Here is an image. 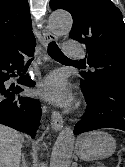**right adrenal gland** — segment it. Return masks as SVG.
Masks as SVG:
<instances>
[{"label": "right adrenal gland", "instance_id": "obj_1", "mask_svg": "<svg viewBox=\"0 0 125 167\" xmlns=\"http://www.w3.org/2000/svg\"><path fill=\"white\" fill-rule=\"evenodd\" d=\"M19 167H28L24 153H22V163H21V165Z\"/></svg>", "mask_w": 125, "mask_h": 167}]
</instances>
